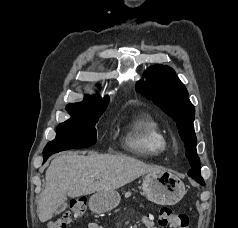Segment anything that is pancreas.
<instances>
[{"mask_svg":"<svg viewBox=\"0 0 238 228\" xmlns=\"http://www.w3.org/2000/svg\"><path fill=\"white\" fill-rule=\"evenodd\" d=\"M126 196H127V197L131 196V192H130V191L127 192V193H126Z\"/></svg>","mask_w":238,"mask_h":228,"instance_id":"cf45deb5","label":"pancreas"}]
</instances>
